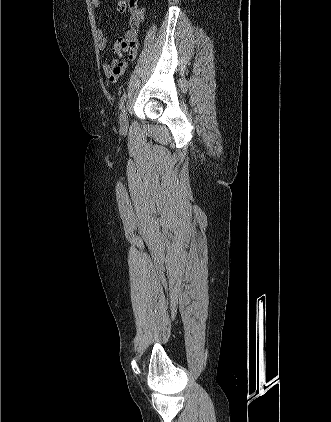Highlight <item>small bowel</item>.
<instances>
[{
	"instance_id": "1",
	"label": "small bowel",
	"mask_w": 331,
	"mask_h": 422,
	"mask_svg": "<svg viewBox=\"0 0 331 422\" xmlns=\"http://www.w3.org/2000/svg\"><path fill=\"white\" fill-rule=\"evenodd\" d=\"M94 9L99 8L100 0H90ZM100 18L96 16V37L97 45L101 51L107 48V36L104 29L100 26ZM138 23L132 22L131 28L123 37L118 38L113 46L112 52L117 56L109 59L104 56L101 60V66L105 77L112 83H116L118 79L125 74L127 60H134L138 52Z\"/></svg>"
}]
</instances>
